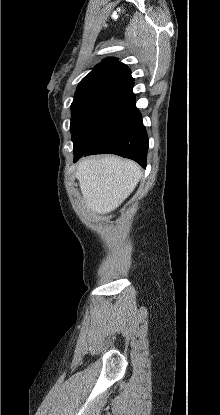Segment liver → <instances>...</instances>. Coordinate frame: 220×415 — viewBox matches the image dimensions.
Segmentation results:
<instances>
[{
	"label": "liver",
	"instance_id": "6515ba94",
	"mask_svg": "<svg viewBox=\"0 0 220 415\" xmlns=\"http://www.w3.org/2000/svg\"><path fill=\"white\" fill-rule=\"evenodd\" d=\"M141 175L137 163L111 155L85 158L76 171L84 203L97 214L118 208L133 192Z\"/></svg>",
	"mask_w": 220,
	"mask_h": 415
}]
</instances>
